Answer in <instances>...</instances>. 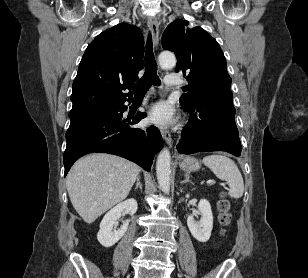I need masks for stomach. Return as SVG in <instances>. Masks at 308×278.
I'll use <instances>...</instances> for the list:
<instances>
[{"instance_id": "0dacf381", "label": "stomach", "mask_w": 308, "mask_h": 278, "mask_svg": "<svg viewBox=\"0 0 308 278\" xmlns=\"http://www.w3.org/2000/svg\"><path fill=\"white\" fill-rule=\"evenodd\" d=\"M200 167H201L200 162L196 158L191 156L184 157L180 162V168L186 171L187 173L196 171L200 169Z\"/></svg>"}]
</instances>
